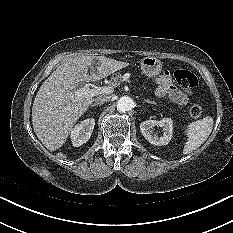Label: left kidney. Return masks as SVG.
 <instances>
[{"label": "left kidney", "mask_w": 233, "mask_h": 233, "mask_svg": "<svg viewBox=\"0 0 233 233\" xmlns=\"http://www.w3.org/2000/svg\"><path fill=\"white\" fill-rule=\"evenodd\" d=\"M161 127L164 131L163 136L159 137L154 133L155 127ZM140 130L145 139L154 145H167L173 134V121L171 118H163L160 121L147 120L140 124Z\"/></svg>", "instance_id": "1"}]
</instances>
